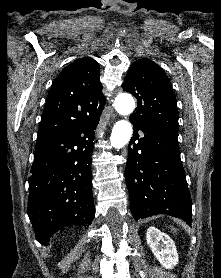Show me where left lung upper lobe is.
<instances>
[{
  "label": "left lung upper lobe",
  "mask_w": 221,
  "mask_h": 278,
  "mask_svg": "<svg viewBox=\"0 0 221 278\" xmlns=\"http://www.w3.org/2000/svg\"><path fill=\"white\" fill-rule=\"evenodd\" d=\"M122 88L137 99L130 118L151 130H179L178 109L171 83L152 60L142 58L129 68Z\"/></svg>",
  "instance_id": "1"
}]
</instances>
